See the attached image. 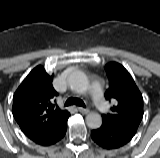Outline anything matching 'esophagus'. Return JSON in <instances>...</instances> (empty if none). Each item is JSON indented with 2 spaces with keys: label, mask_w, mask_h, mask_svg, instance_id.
<instances>
[{
  "label": "esophagus",
  "mask_w": 160,
  "mask_h": 158,
  "mask_svg": "<svg viewBox=\"0 0 160 158\" xmlns=\"http://www.w3.org/2000/svg\"><path fill=\"white\" fill-rule=\"evenodd\" d=\"M78 111L86 114V113H88L89 110H88V108L78 107Z\"/></svg>",
  "instance_id": "esophagus-1"
}]
</instances>
